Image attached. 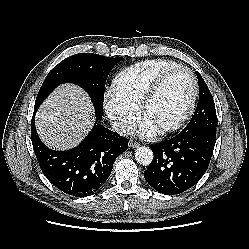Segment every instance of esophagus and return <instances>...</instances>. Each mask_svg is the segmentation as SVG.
<instances>
[{"mask_svg": "<svg viewBox=\"0 0 249 249\" xmlns=\"http://www.w3.org/2000/svg\"><path fill=\"white\" fill-rule=\"evenodd\" d=\"M139 146H140V144L138 142H136L134 140H130L129 141V147H131V148H137Z\"/></svg>", "mask_w": 249, "mask_h": 249, "instance_id": "obj_1", "label": "esophagus"}]
</instances>
